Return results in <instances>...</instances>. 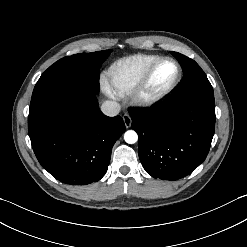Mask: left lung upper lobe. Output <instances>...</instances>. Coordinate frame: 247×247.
I'll use <instances>...</instances> for the list:
<instances>
[{
    "mask_svg": "<svg viewBox=\"0 0 247 247\" xmlns=\"http://www.w3.org/2000/svg\"><path fill=\"white\" fill-rule=\"evenodd\" d=\"M184 69V78L170 95L171 100L187 98L196 95H214L206 74L200 66L187 56L172 52Z\"/></svg>",
    "mask_w": 247,
    "mask_h": 247,
    "instance_id": "1",
    "label": "left lung upper lobe"
}]
</instances>
